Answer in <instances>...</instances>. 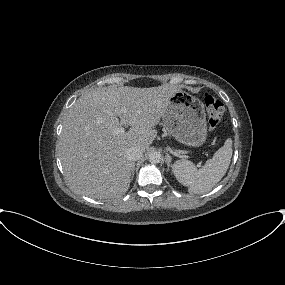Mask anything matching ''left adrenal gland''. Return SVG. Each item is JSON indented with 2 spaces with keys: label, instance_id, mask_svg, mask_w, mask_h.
I'll return each instance as SVG.
<instances>
[{
  "label": "left adrenal gland",
  "instance_id": "left-adrenal-gland-1",
  "mask_svg": "<svg viewBox=\"0 0 285 285\" xmlns=\"http://www.w3.org/2000/svg\"><path fill=\"white\" fill-rule=\"evenodd\" d=\"M165 159H166L165 161L167 163V171H169L170 170V163H171L172 158H171V156L168 153H166Z\"/></svg>",
  "mask_w": 285,
  "mask_h": 285
}]
</instances>
